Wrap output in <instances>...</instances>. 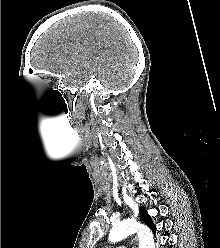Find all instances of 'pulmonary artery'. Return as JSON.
Returning a JSON list of instances; mask_svg holds the SVG:
<instances>
[{"label":"pulmonary artery","mask_w":220,"mask_h":248,"mask_svg":"<svg viewBox=\"0 0 220 248\" xmlns=\"http://www.w3.org/2000/svg\"><path fill=\"white\" fill-rule=\"evenodd\" d=\"M117 248H125V247H117Z\"/></svg>","instance_id":"1"}]
</instances>
